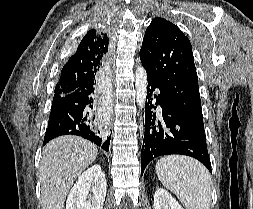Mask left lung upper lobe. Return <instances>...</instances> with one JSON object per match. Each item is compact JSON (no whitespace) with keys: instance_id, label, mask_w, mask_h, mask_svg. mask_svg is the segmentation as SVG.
<instances>
[{"instance_id":"1","label":"left lung upper lobe","mask_w":253,"mask_h":209,"mask_svg":"<svg viewBox=\"0 0 253 209\" xmlns=\"http://www.w3.org/2000/svg\"><path fill=\"white\" fill-rule=\"evenodd\" d=\"M140 60L181 115L204 130L192 46L183 32L166 19L154 18L146 29Z\"/></svg>"}]
</instances>
